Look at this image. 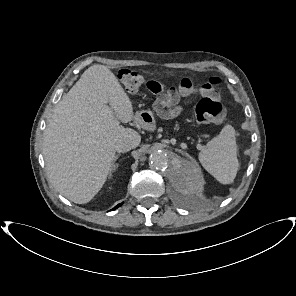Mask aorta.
Listing matches in <instances>:
<instances>
[{"instance_id":"aorta-1","label":"aorta","mask_w":296,"mask_h":296,"mask_svg":"<svg viewBox=\"0 0 296 296\" xmlns=\"http://www.w3.org/2000/svg\"><path fill=\"white\" fill-rule=\"evenodd\" d=\"M149 161L154 170L168 176L178 188L187 191L200 189V174L189 160L174 152L158 149L151 153Z\"/></svg>"}]
</instances>
